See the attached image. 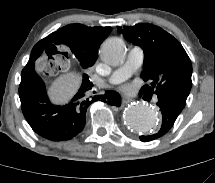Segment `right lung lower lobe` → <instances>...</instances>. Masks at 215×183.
I'll use <instances>...</instances> for the list:
<instances>
[{
  "label": "right lung lower lobe",
  "instance_id": "1",
  "mask_svg": "<svg viewBox=\"0 0 215 183\" xmlns=\"http://www.w3.org/2000/svg\"><path fill=\"white\" fill-rule=\"evenodd\" d=\"M39 56L31 54L21 73L19 97L25 119L40 136L51 141H65L79 134L86 122V110L95 101L119 107L121 97L115 91L91 95L93 84L88 75L71 101L62 106L53 105L48 99L43 80L35 72L34 63Z\"/></svg>",
  "mask_w": 215,
  "mask_h": 183
}]
</instances>
